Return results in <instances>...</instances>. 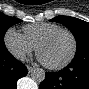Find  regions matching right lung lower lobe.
I'll return each mask as SVG.
<instances>
[{
	"mask_svg": "<svg viewBox=\"0 0 89 89\" xmlns=\"http://www.w3.org/2000/svg\"><path fill=\"white\" fill-rule=\"evenodd\" d=\"M27 74V68L5 48L0 50V89H15L17 80Z\"/></svg>",
	"mask_w": 89,
	"mask_h": 89,
	"instance_id": "right-lung-lower-lobe-1",
	"label": "right lung lower lobe"
}]
</instances>
